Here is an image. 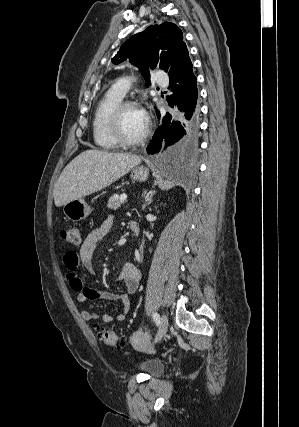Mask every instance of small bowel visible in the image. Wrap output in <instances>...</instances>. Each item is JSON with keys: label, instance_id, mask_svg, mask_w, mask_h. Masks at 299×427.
<instances>
[{"label": "small bowel", "instance_id": "small-bowel-1", "mask_svg": "<svg viewBox=\"0 0 299 427\" xmlns=\"http://www.w3.org/2000/svg\"><path fill=\"white\" fill-rule=\"evenodd\" d=\"M113 226V218L105 219L100 225L92 229L86 236L78 252L69 251L64 255V265L67 270V279L70 287L78 293V301L86 304L88 300H116L121 308L115 315L99 314L96 312L83 310L81 317L86 321L101 320L105 323L121 322L125 320L130 310V297L138 289L141 273L132 263H125L118 275L119 281L123 282L126 292L117 294L108 291L95 290L91 283H86L77 273L80 265L84 266L90 275L93 274L92 259L94 252L100 242L109 234Z\"/></svg>", "mask_w": 299, "mask_h": 427}]
</instances>
